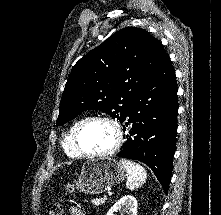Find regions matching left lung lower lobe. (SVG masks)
<instances>
[{
    "instance_id": "1",
    "label": "left lung lower lobe",
    "mask_w": 221,
    "mask_h": 215,
    "mask_svg": "<svg viewBox=\"0 0 221 215\" xmlns=\"http://www.w3.org/2000/svg\"><path fill=\"white\" fill-rule=\"evenodd\" d=\"M177 84L169 56L141 86L122 123H133L117 156L149 166L168 192L177 132ZM127 122H126V118Z\"/></svg>"
}]
</instances>
